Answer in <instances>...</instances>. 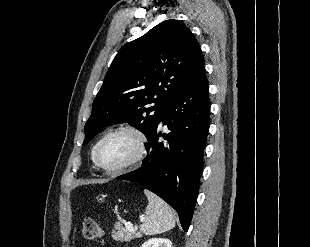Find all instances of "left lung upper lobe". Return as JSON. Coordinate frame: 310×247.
I'll use <instances>...</instances> for the list:
<instances>
[{
  "label": "left lung upper lobe",
  "instance_id": "5c2ea615",
  "mask_svg": "<svg viewBox=\"0 0 310 247\" xmlns=\"http://www.w3.org/2000/svg\"><path fill=\"white\" fill-rule=\"evenodd\" d=\"M203 65L197 40L176 20L163 21L129 42L114 58L93 102L83 144L103 127L124 122L149 139L169 102Z\"/></svg>",
  "mask_w": 310,
  "mask_h": 247
}]
</instances>
